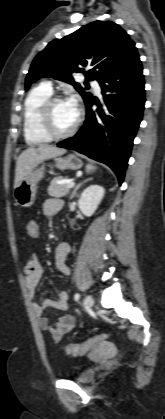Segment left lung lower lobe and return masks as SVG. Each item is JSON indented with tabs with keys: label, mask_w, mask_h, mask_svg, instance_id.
<instances>
[{
	"label": "left lung lower lobe",
	"mask_w": 165,
	"mask_h": 419,
	"mask_svg": "<svg viewBox=\"0 0 165 419\" xmlns=\"http://www.w3.org/2000/svg\"><path fill=\"white\" fill-rule=\"evenodd\" d=\"M136 48L99 83L103 103L86 104V120L78 133L58 144L107 164L122 184L133 140L142 121L144 77ZM97 104L96 111L92 105Z\"/></svg>",
	"instance_id": "1"
}]
</instances>
